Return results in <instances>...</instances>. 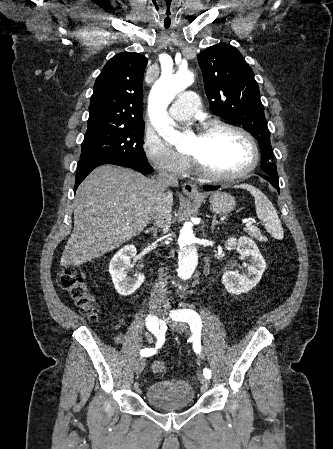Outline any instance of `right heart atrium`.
I'll use <instances>...</instances> for the list:
<instances>
[{"label":"right heart atrium","instance_id":"right-heart-atrium-1","mask_svg":"<svg viewBox=\"0 0 333 449\" xmlns=\"http://www.w3.org/2000/svg\"><path fill=\"white\" fill-rule=\"evenodd\" d=\"M143 151L150 164L162 173L180 177L189 169V159L156 134L147 133L144 136Z\"/></svg>","mask_w":333,"mask_h":449}]
</instances>
